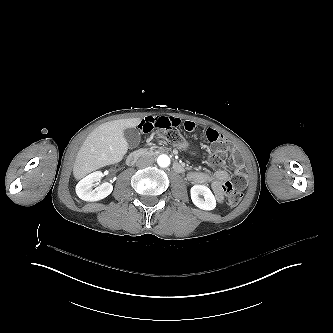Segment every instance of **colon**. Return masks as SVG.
<instances>
[{
	"mask_svg": "<svg viewBox=\"0 0 333 333\" xmlns=\"http://www.w3.org/2000/svg\"><path fill=\"white\" fill-rule=\"evenodd\" d=\"M144 133V132H142ZM161 138L166 141L171 146L181 147L185 151H192L193 146L183 139L182 135L178 130L175 129H163L159 131ZM148 134V133H144ZM229 152V150H226ZM233 167L236 171L232 175L231 180L224 184L223 190L227 199V203L230 206H236L240 203L242 199L241 185L246 180V174L243 172V162L236 160L233 164Z\"/></svg>",
	"mask_w": 333,
	"mask_h": 333,
	"instance_id": "5ec220e1",
	"label": "colon"
}]
</instances>
